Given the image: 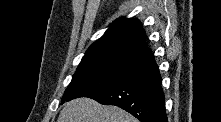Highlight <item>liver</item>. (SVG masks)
Wrapping results in <instances>:
<instances>
[{
  "label": "liver",
  "instance_id": "6515ba94",
  "mask_svg": "<svg viewBox=\"0 0 221 122\" xmlns=\"http://www.w3.org/2000/svg\"><path fill=\"white\" fill-rule=\"evenodd\" d=\"M57 122H137V119L117 106L78 98L66 103Z\"/></svg>",
  "mask_w": 221,
  "mask_h": 122
}]
</instances>
